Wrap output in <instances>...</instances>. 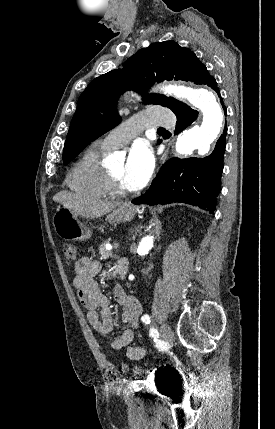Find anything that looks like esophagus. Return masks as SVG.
<instances>
[{"mask_svg": "<svg viewBox=\"0 0 275 429\" xmlns=\"http://www.w3.org/2000/svg\"><path fill=\"white\" fill-rule=\"evenodd\" d=\"M166 153H164L161 157H160V163H164L165 159H166Z\"/></svg>", "mask_w": 275, "mask_h": 429, "instance_id": "obj_1", "label": "esophagus"}]
</instances>
